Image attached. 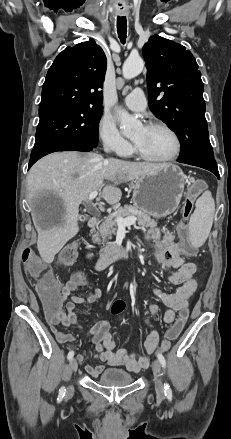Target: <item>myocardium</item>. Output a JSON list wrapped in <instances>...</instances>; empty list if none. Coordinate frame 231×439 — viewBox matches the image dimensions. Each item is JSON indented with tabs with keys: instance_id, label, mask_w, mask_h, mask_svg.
I'll return each instance as SVG.
<instances>
[{
	"instance_id": "obj_1",
	"label": "myocardium",
	"mask_w": 231,
	"mask_h": 439,
	"mask_svg": "<svg viewBox=\"0 0 231 439\" xmlns=\"http://www.w3.org/2000/svg\"><path fill=\"white\" fill-rule=\"evenodd\" d=\"M146 129H162L166 131L172 138L174 143V149L171 154L162 158H154L144 154L135 144H133L134 153L142 160L153 163H167L175 160L181 153L182 143L173 128L163 122H152L145 126Z\"/></svg>"
}]
</instances>
